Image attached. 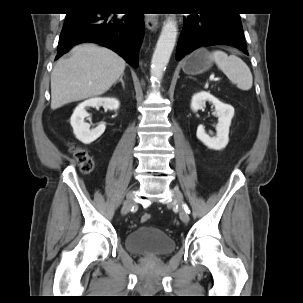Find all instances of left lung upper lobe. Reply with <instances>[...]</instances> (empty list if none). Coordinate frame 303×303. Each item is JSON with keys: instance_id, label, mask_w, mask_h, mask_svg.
<instances>
[{"instance_id": "obj_1", "label": "left lung upper lobe", "mask_w": 303, "mask_h": 303, "mask_svg": "<svg viewBox=\"0 0 303 303\" xmlns=\"http://www.w3.org/2000/svg\"><path fill=\"white\" fill-rule=\"evenodd\" d=\"M227 14H232V15L239 16V14H237V13H227Z\"/></svg>"}]
</instances>
